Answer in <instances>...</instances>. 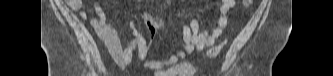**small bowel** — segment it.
I'll return each mask as SVG.
<instances>
[{
	"label": "small bowel",
	"instance_id": "c3829d8e",
	"mask_svg": "<svg viewBox=\"0 0 333 76\" xmlns=\"http://www.w3.org/2000/svg\"><path fill=\"white\" fill-rule=\"evenodd\" d=\"M138 2L143 5L147 3L144 0H139ZM65 4L69 11H78L82 8L81 0H66ZM235 4V0L220 1L213 23L203 31H200L199 21L195 17L192 18L189 24L182 22L180 49L160 60H145L148 53V43L134 21L129 24L132 38L126 46H123L118 31L107 19L104 10L98 2L94 3L96 16L91 19L90 24L96 30L114 62L119 67L125 68L129 65L132 53L136 49L138 51V59L143 62L146 68L153 70L156 76H192L194 75L193 67L181 61L187 54L201 51L215 44L227 27L229 22L228 14ZM87 16L88 14L85 10L80 12L81 19L85 20ZM143 19L151 36L164 29L162 22L148 10H145Z\"/></svg>",
	"mask_w": 333,
	"mask_h": 76
}]
</instances>
